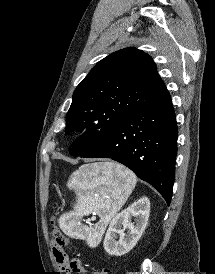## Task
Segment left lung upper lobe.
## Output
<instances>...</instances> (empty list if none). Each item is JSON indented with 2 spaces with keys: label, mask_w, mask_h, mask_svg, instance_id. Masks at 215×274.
Listing matches in <instances>:
<instances>
[{
  "label": "left lung upper lobe",
  "mask_w": 215,
  "mask_h": 274,
  "mask_svg": "<svg viewBox=\"0 0 215 274\" xmlns=\"http://www.w3.org/2000/svg\"><path fill=\"white\" fill-rule=\"evenodd\" d=\"M165 90L155 63L141 50L125 48L99 61L77 86L66 115V133L86 128L70 154L87 153L123 119Z\"/></svg>",
  "instance_id": "1"
}]
</instances>
